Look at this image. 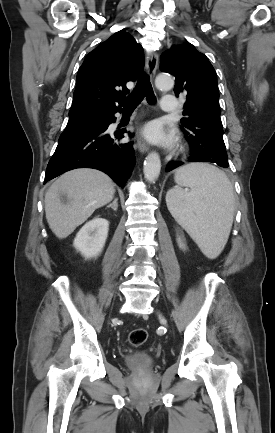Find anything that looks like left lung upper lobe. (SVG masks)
Returning a JSON list of instances; mask_svg holds the SVG:
<instances>
[{"mask_svg":"<svg viewBox=\"0 0 275 433\" xmlns=\"http://www.w3.org/2000/svg\"><path fill=\"white\" fill-rule=\"evenodd\" d=\"M160 68L175 76L176 96L184 94L182 130L195 162L229 166L223 141L216 72L208 58L192 44L175 46L161 56Z\"/></svg>","mask_w":275,"mask_h":433,"instance_id":"5c2ea615","label":"left lung upper lobe"}]
</instances>
